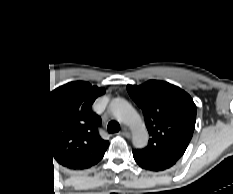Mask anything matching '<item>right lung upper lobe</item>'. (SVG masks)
<instances>
[{"mask_svg": "<svg viewBox=\"0 0 233 194\" xmlns=\"http://www.w3.org/2000/svg\"><path fill=\"white\" fill-rule=\"evenodd\" d=\"M102 94L85 82L65 84L42 102L40 131L51 154L62 165L87 168L100 161L109 142L100 138V117L90 108Z\"/></svg>", "mask_w": 233, "mask_h": 194, "instance_id": "obj_1", "label": "right lung upper lobe"}]
</instances>
